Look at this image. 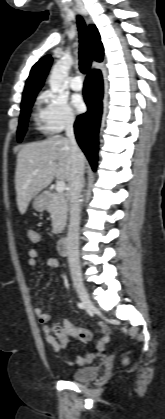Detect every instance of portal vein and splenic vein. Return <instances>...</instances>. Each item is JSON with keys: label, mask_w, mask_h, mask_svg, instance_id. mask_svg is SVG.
<instances>
[{"label": "portal vein and splenic vein", "mask_w": 165, "mask_h": 419, "mask_svg": "<svg viewBox=\"0 0 165 419\" xmlns=\"http://www.w3.org/2000/svg\"><path fill=\"white\" fill-rule=\"evenodd\" d=\"M36 173H37V171H34L33 172V174H36ZM65 186H66V184H65L64 181H57V183H56V191L58 193H62L65 190Z\"/></svg>", "instance_id": "1"}]
</instances>
